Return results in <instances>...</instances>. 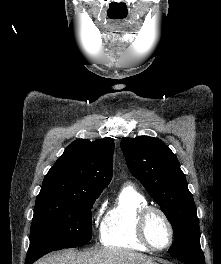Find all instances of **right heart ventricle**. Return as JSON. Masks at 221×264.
<instances>
[{
    "label": "right heart ventricle",
    "instance_id": "1",
    "mask_svg": "<svg viewBox=\"0 0 221 264\" xmlns=\"http://www.w3.org/2000/svg\"><path fill=\"white\" fill-rule=\"evenodd\" d=\"M146 205V197L134 185H124L105 211L100 228L101 243L107 247L147 251L136 234L137 214Z\"/></svg>",
    "mask_w": 221,
    "mask_h": 264
}]
</instances>
